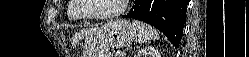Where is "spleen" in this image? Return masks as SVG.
Instances as JSON below:
<instances>
[{"mask_svg": "<svg viewBox=\"0 0 249 57\" xmlns=\"http://www.w3.org/2000/svg\"><path fill=\"white\" fill-rule=\"evenodd\" d=\"M133 25L138 32V43L142 44L151 40L159 39V34L152 26L139 20H133Z\"/></svg>", "mask_w": 249, "mask_h": 57, "instance_id": "spleen-1", "label": "spleen"}]
</instances>
